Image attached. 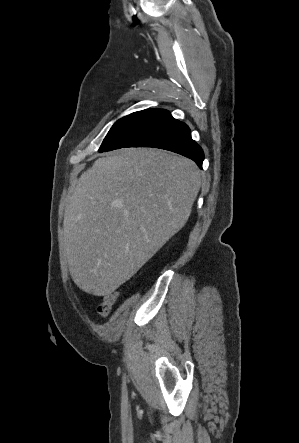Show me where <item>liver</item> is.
I'll list each match as a JSON object with an SVG mask.
<instances>
[{
    "mask_svg": "<svg viewBox=\"0 0 299 443\" xmlns=\"http://www.w3.org/2000/svg\"><path fill=\"white\" fill-rule=\"evenodd\" d=\"M201 187L195 162L127 148L81 174L64 214L69 272L82 291L108 296L186 224Z\"/></svg>",
    "mask_w": 299,
    "mask_h": 443,
    "instance_id": "1",
    "label": "liver"
}]
</instances>
